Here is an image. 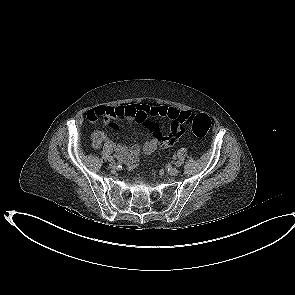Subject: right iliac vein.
Returning <instances> with one entry per match:
<instances>
[{
	"instance_id": "1",
	"label": "right iliac vein",
	"mask_w": 295,
	"mask_h": 295,
	"mask_svg": "<svg viewBox=\"0 0 295 295\" xmlns=\"http://www.w3.org/2000/svg\"><path fill=\"white\" fill-rule=\"evenodd\" d=\"M116 167H117V165H116L115 162H111V163H110V168H111V169H116Z\"/></svg>"
}]
</instances>
